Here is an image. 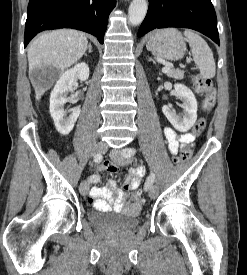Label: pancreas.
<instances>
[{
	"label": "pancreas",
	"instance_id": "1",
	"mask_svg": "<svg viewBox=\"0 0 247 275\" xmlns=\"http://www.w3.org/2000/svg\"><path fill=\"white\" fill-rule=\"evenodd\" d=\"M167 76L176 80H181L184 78V72L180 70H170L167 73Z\"/></svg>",
	"mask_w": 247,
	"mask_h": 275
}]
</instances>
